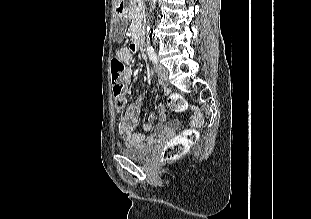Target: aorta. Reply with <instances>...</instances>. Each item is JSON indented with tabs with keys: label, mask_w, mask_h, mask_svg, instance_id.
<instances>
[{
	"label": "aorta",
	"mask_w": 311,
	"mask_h": 219,
	"mask_svg": "<svg viewBox=\"0 0 311 219\" xmlns=\"http://www.w3.org/2000/svg\"><path fill=\"white\" fill-rule=\"evenodd\" d=\"M156 1H157V0H152V3H151L152 9L155 8ZM152 9L150 10L151 12H152ZM149 30H150V26L148 25V26H147V33L149 32ZM147 44H148V46H149V41H148V39H147Z\"/></svg>",
	"instance_id": "762f6f07"
}]
</instances>
